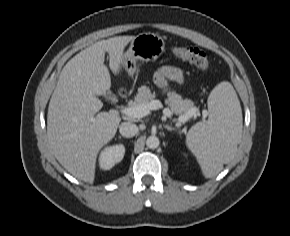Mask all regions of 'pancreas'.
Here are the masks:
<instances>
[{"mask_svg":"<svg viewBox=\"0 0 290 236\" xmlns=\"http://www.w3.org/2000/svg\"><path fill=\"white\" fill-rule=\"evenodd\" d=\"M155 97V93H152L149 87L141 86L138 88V93L136 94L134 100L129 102V106L133 107L141 104H147ZM165 102L168 104L171 112L176 115H186L191 109H196V114L198 112V109L194 107V103L191 100L183 99L182 96L177 94L175 91L169 92L168 98ZM191 117L192 116H190V118Z\"/></svg>","mask_w":290,"mask_h":236,"instance_id":"pancreas-1","label":"pancreas"}]
</instances>
